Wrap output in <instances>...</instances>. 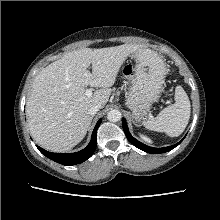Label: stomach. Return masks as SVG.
Segmentation results:
<instances>
[{
	"instance_id": "1",
	"label": "stomach",
	"mask_w": 220,
	"mask_h": 220,
	"mask_svg": "<svg viewBox=\"0 0 220 220\" xmlns=\"http://www.w3.org/2000/svg\"><path fill=\"white\" fill-rule=\"evenodd\" d=\"M136 60L135 78L126 96V106L136 120L147 114L163 89L166 65L162 58L148 48L133 53Z\"/></svg>"
}]
</instances>
